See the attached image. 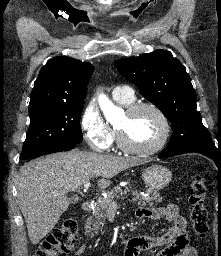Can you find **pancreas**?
I'll list each match as a JSON object with an SVG mask.
<instances>
[{
  "instance_id": "pancreas-1",
  "label": "pancreas",
  "mask_w": 221,
  "mask_h": 256,
  "mask_svg": "<svg viewBox=\"0 0 221 256\" xmlns=\"http://www.w3.org/2000/svg\"><path fill=\"white\" fill-rule=\"evenodd\" d=\"M153 191V190H152ZM123 192L120 187L116 186L111 191L108 192L106 198H98L94 206V212L91 217H88L86 220V233L89 236H93V232H97L100 227L103 228L104 220L106 219L107 212L111 206V203L115 197H119ZM133 202L138 205H155L158 202H162V197L159 193L154 191V193L148 197L140 195L137 191H133Z\"/></svg>"
}]
</instances>
